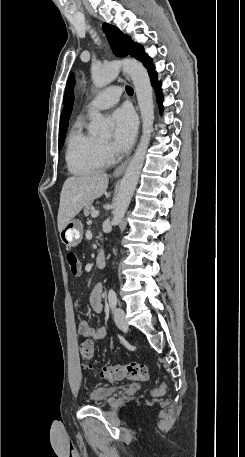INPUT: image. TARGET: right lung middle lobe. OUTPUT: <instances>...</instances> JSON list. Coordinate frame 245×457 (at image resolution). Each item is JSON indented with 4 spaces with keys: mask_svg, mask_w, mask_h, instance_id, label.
<instances>
[{
    "mask_svg": "<svg viewBox=\"0 0 245 457\" xmlns=\"http://www.w3.org/2000/svg\"><path fill=\"white\" fill-rule=\"evenodd\" d=\"M67 128L68 127H65V128H60V133H59V149L62 147L63 145V142H64V137H65V133L67 131Z\"/></svg>",
    "mask_w": 245,
    "mask_h": 457,
    "instance_id": "right-lung-middle-lobe-1",
    "label": "right lung middle lobe"
}]
</instances>
